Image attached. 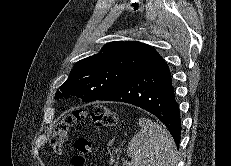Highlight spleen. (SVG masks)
Instances as JSON below:
<instances>
[{"mask_svg": "<svg viewBox=\"0 0 231 166\" xmlns=\"http://www.w3.org/2000/svg\"><path fill=\"white\" fill-rule=\"evenodd\" d=\"M140 131L128 145L132 166H177V150L171 134L145 117L139 118Z\"/></svg>", "mask_w": 231, "mask_h": 166, "instance_id": "obj_1", "label": "spleen"}]
</instances>
